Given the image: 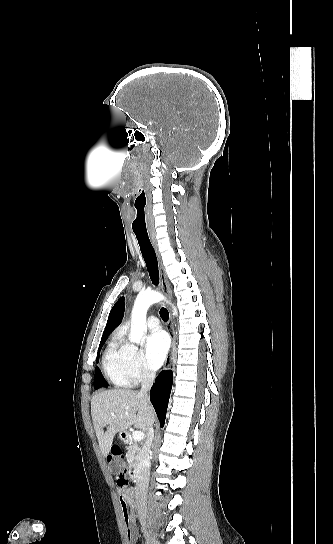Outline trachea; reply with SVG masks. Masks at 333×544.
Wrapping results in <instances>:
<instances>
[{"instance_id": "1", "label": "trachea", "mask_w": 333, "mask_h": 544, "mask_svg": "<svg viewBox=\"0 0 333 544\" xmlns=\"http://www.w3.org/2000/svg\"><path fill=\"white\" fill-rule=\"evenodd\" d=\"M138 244L140 246V251L146 263L150 278L154 285L159 283V270L157 257L154 251V248L150 242L149 236L146 233H137L135 232ZM160 316L163 321L169 319V313L166 308L160 309Z\"/></svg>"}]
</instances>
